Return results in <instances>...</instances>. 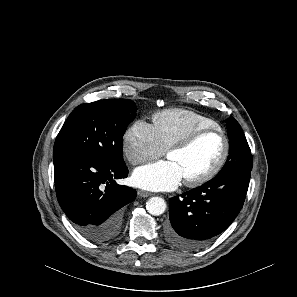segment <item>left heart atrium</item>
I'll list each match as a JSON object with an SVG mask.
<instances>
[{
	"mask_svg": "<svg viewBox=\"0 0 297 297\" xmlns=\"http://www.w3.org/2000/svg\"><path fill=\"white\" fill-rule=\"evenodd\" d=\"M184 179L181 167L170 159L139 167L132 174L134 185L154 191L173 190Z\"/></svg>",
	"mask_w": 297,
	"mask_h": 297,
	"instance_id": "obj_1",
	"label": "left heart atrium"
}]
</instances>
